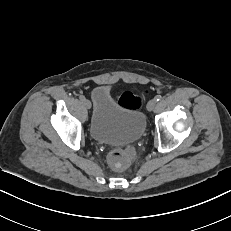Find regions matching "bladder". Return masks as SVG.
Wrapping results in <instances>:
<instances>
[{
  "instance_id": "bladder-1",
  "label": "bladder",
  "mask_w": 231,
  "mask_h": 231,
  "mask_svg": "<svg viewBox=\"0 0 231 231\" xmlns=\"http://www.w3.org/2000/svg\"><path fill=\"white\" fill-rule=\"evenodd\" d=\"M92 98L90 133L94 140L130 143L142 136L146 128V117L142 111L119 103L106 85L97 86Z\"/></svg>"
}]
</instances>
